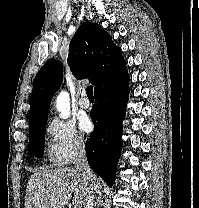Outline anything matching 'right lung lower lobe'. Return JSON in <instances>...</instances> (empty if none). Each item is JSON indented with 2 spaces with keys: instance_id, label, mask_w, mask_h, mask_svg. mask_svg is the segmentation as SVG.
I'll return each mask as SVG.
<instances>
[{
  "instance_id": "98d812e1",
  "label": "right lung lower lobe",
  "mask_w": 199,
  "mask_h": 208,
  "mask_svg": "<svg viewBox=\"0 0 199 208\" xmlns=\"http://www.w3.org/2000/svg\"><path fill=\"white\" fill-rule=\"evenodd\" d=\"M129 76L98 90L91 118L95 129L87 140V160L93 171L112 186L122 149V121L129 97Z\"/></svg>"
}]
</instances>
